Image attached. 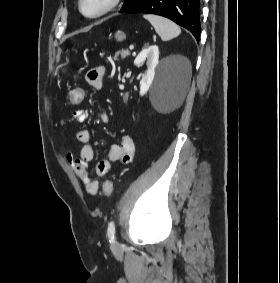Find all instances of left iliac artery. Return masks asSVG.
Wrapping results in <instances>:
<instances>
[{"mask_svg":"<svg viewBox=\"0 0 280 283\" xmlns=\"http://www.w3.org/2000/svg\"><path fill=\"white\" fill-rule=\"evenodd\" d=\"M107 235L110 239V242L114 241V239H115V224H114L113 221H111L108 225Z\"/></svg>","mask_w":280,"mask_h":283,"instance_id":"44dca946","label":"left iliac artery"}]
</instances>
